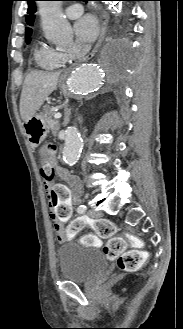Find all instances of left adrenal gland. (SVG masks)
<instances>
[{"label": "left adrenal gland", "instance_id": "1", "mask_svg": "<svg viewBox=\"0 0 183 329\" xmlns=\"http://www.w3.org/2000/svg\"><path fill=\"white\" fill-rule=\"evenodd\" d=\"M64 122L63 125L66 126L69 123L70 120V114H71V108H68V106L66 105L64 108Z\"/></svg>", "mask_w": 183, "mask_h": 329}]
</instances>
